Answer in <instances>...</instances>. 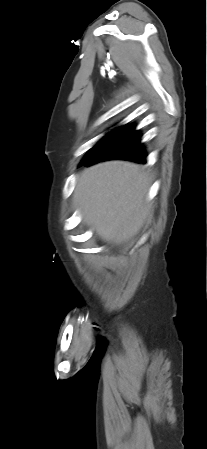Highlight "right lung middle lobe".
Listing matches in <instances>:
<instances>
[{
  "instance_id": "1",
  "label": "right lung middle lobe",
  "mask_w": 207,
  "mask_h": 449,
  "mask_svg": "<svg viewBox=\"0 0 207 449\" xmlns=\"http://www.w3.org/2000/svg\"><path fill=\"white\" fill-rule=\"evenodd\" d=\"M126 125L119 127L109 134H107L103 139H101L84 157L83 161L90 158L92 155H94L99 149H101L112 137H114L116 134H118L121 130L125 128Z\"/></svg>"
}]
</instances>
